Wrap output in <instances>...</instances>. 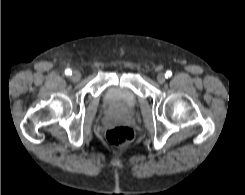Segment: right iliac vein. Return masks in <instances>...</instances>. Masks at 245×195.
Wrapping results in <instances>:
<instances>
[{
    "instance_id": "63e3f726",
    "label": "right iliac vein",
    "mask_w": 245,
    "mask_h": 195,
    "mask_svg": "<svg viewBox=\"0 0 245 195\" xmlns=\"http://www.w3.org/2000/svg\"><path fill=\"white\" fill-rule=\"evenodd\" d=\"M81 78V73L79 71H74L71 75L73 81H79Z\"/></svg>"
}]
</instances>
